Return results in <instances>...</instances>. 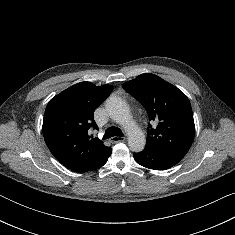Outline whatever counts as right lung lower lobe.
Here are the masks:
<instances>
[{
	"label": "right lung lower lobe",
	"instance_id": "obj_1",
	"mask_svg": "<svg viewBox=\"0 0 235 235\" xmlns=\"http://www.w3.org/2000/svg\"><path fill=\"white\" fill-rule=\"evenodd\" d=\"M111 153H112V150L110 148L107 152H105L102 155V157L88 171L96 170V169L102 167L107 162Z\"/></svg>",
	"mask_w": 235,
	"mask_h": 235
}]
</instances>
